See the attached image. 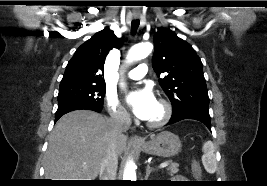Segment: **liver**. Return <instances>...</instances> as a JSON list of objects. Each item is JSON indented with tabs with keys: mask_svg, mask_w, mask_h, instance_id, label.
Wrapping results in <instances>:
<instances>
[{
	"mask_svg": "<svg viewBox=\"0 0 267 186\" xmlns=\"http://www.w3.org/2000/svg\"><path fill=\"white\" fill-rule=\"evenodd\" d=\"M109 119L88 110L62 116L49 136L44 158L45 178L95 180L109 141ZM125 135L116 140V152L126 150Z\"/></svg>",
	"mask_w": 267,
	"mask_h": 186,
	"instance_id": "obj_1",
	"label": "liver"
}]
</instances>
